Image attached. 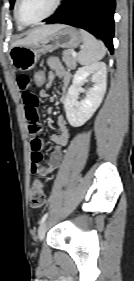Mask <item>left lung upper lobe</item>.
<instances>
[{"label": "left lung upper lobe", "instance_id": "5c2ea615", "mask_svg": "<svg viewBox=\"0 0 134 281\" xmlns=\"http://www.w3.org/2000/svg\"><path fill=\"white\" fill-rule=\"evenodd\" d=\"M10 1V3H11V9L13 8V5H14V1L15 0H9Z\"/></svg>", "mask_w": 134, "mask_h": 281}]
</instances>
